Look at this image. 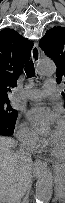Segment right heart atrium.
<instances>
[{
	"label": "right heart atrium",
	"instance_id": "d8ad5b80",
	"mask_svg": "<svg viewBox=\"0 0 65 203\" xmlns=\"http://www.w3.org/2000/svg\"><path fill=\"white\" fill-rule=\"evenodd\" d=\"M17 137L21 145L28 150H34L43 143L40 137L25 122L20 125Z\"/></svg>",
	"mask_w": 65,
	"mask_h": 203
}]
</instances>
